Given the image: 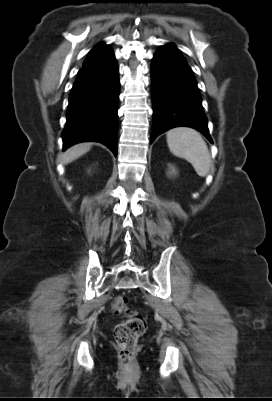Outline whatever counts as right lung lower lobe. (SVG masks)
<instances>
[{"label": "right lung lower lobe", "mask_w": 272, "mask_h": 401, "mask_svg": "<svg viewBox=\"0 0 272 401\" xmlns=\"http://www.w3.org/2000/svg\"><path fill=\"white\" fill-rule=\"evenodd\" d=\"M120 82L112 49L105 45L91 52L69 97L63 150L85 141L106 145L117 155Z\"/></svg>", "instance_id": "right-lung-lower-lobe-1"}]
</instances>
